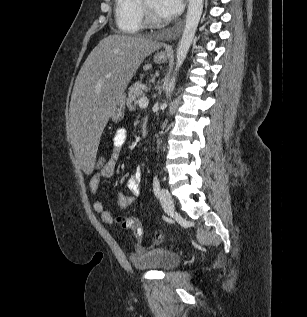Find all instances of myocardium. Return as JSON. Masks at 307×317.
Masks as SVG:
<instances>
[{
  "label": "myocardium",
  "mask_w": 307,
  "mask_h": 317,
  "mask_svg": "<svg viewBox=\"0 0 307 317\" xmlns=\"http://www.w3.org/2000/svg\"><path fill=\"white\" fill-rule=\"evenodd\" d=\"M140 7H141L144 22L148 26L158 28L165 24V22L162 19L154 15L151 8L147 5L146 0H140Z\"/></svg>",
  "instance_id": "f54148a6"
}]
</instances>
